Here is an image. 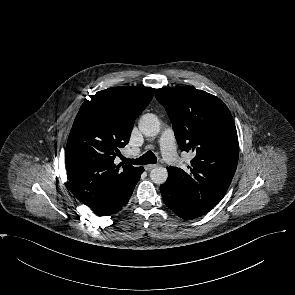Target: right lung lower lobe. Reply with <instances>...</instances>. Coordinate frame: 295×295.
<instances>
[{
    "label": "right lung lower lobe",
    "instance_id": "1",
    "mask_svg": "<svg viewBox=\"0 0 295 295\" xmlns=\"http://www.w3.org/2000/svg\"><path fill=\"white\" fill-rule=\"evenodd\" d=\"M143 171H144V168L139 167L130 185L127 188H125L121 192V194L118 195L117 199L106 208H103L101 210L94 211V212L99 216H109L120 211L128 203V200L134 190V187L137 181L139 180L140 175L143 173Z\"/></svg>",
    "mask_w": 295,
    "mask_h": 295
}]
</instances>
